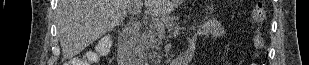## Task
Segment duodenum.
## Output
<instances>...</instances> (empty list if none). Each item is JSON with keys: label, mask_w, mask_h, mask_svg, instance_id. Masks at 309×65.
<instances>
[{"label": "duodenum", "mask_w": 309, "mask_h": 65, "mask_svg": "<svg viewBox=\"0 0 309 65\" xmlns=\"http://www.w3.org/2000/svg\"><path fill=\"white\" fill-rule=\"evenodd\" d=\"M138 26L131 24L119 36L118 40V65H134L131 60V50L134 45ZM193 56V47L187 49L178 57L176 65H186Z\"/></svg>", "instance_id": "410a0bca"}]
</instances>
